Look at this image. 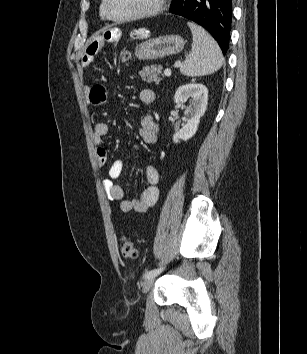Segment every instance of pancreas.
Instances as JSON below:
<instances>
[{"mask_svg": "<svg viewBox=\"0 0 307 354\" xmlns=\"http://www.w3.org/2000/svg\"><path fill=\"white\" fill-rule=\"evenodd\" d=\"M162 67L160 65H152L151 67L146 66L140 72L139 76L142 80L147 81V83L151 82H160Z\"/></svg>", "mask_w": 307, "mask_h": 354, "instance_id": "cf45deb5", "label": "pancreas"}]
</instances>
